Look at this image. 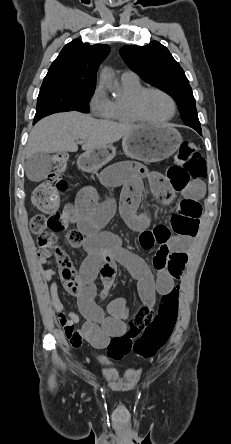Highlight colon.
Wrapping results in <instances>:
<instances>
[{
	"label": "colon",
	"mask_w": 231,
	"mask_h": 444,
	"mask_svg": "<svg viewBox=\"0 0 231 444\" xmlns=\"http://www.w3.org/2000/svg\"><path fill=\"white\" fill-rule=\"evenodd\" d=\"M56 170L32 194L33 205L41 211L30 222L32 233L39 236L38 243L42 250L52 255L60 268L65 288L78 294L80 283L68 254L58 246L52 232L65 230L73 223L72 214L67 210H59V194L67 183L61 173L64 162L61 157L56 159ZM206 177L205 159L198 148L190 141L181 145L177 163L167 171V178L177 188L187 187L191 182ZM201 207L189 199H182L178 204L177 215L171 221L175 234L193 237L197 233ZM158 236H167L171 232L165 226L155 229ZM178 289L174 288L163 295L158 310L143 306L129 322V328L121 336L112 337L107 355L111 359L121 360L134 353L144 359H150L168 342L177 319Z\"/></svg>",
	"instance_id": "1"
}]
</instances>
